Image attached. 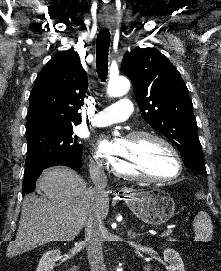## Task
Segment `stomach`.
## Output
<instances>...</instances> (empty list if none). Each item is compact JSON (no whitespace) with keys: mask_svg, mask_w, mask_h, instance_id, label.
Here are the masks:
<instances>
[{"mask_svg":"<svg viewBox=\"0 0 221 271\" xmlns=\"http://www.w3.org/2000/svg\"><path fill=\"white\" fill-rule=\"evenodd\" d=\"M125 201L139 219L151 225H161L168 221L175 211L173 197L160 187H150L148 191L129 189Z\"/></svg>","mask_w":221,"mask_h":271,"instance_id":"0dacf381","label":"stomach"}]
</instances>
